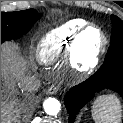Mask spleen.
<instances>
[{
  "instance_id": "spleen-1",
  "label": "spleen",
  "mask_w": 123,
  "mask_h": 123,
  "mask_svg": "<svg viewBox=\"0 0 123 123\" xmlns=\"http://www.w3.org/2000/svg\"><path fill=\"white\" fill-rule=\"evenodd\" d=\"M95 123H119L121 118L120 101L115 95H102L92 106Z\"/></svg>"
}]
</instances>
